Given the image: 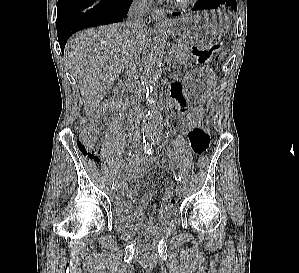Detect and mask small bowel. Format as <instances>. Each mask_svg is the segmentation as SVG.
I'll use <instances>...</instances> for the list:
<instances>
[{
	"instance_id": "small-bowel-1",
	"label": "small bowel",
	"mask_w": 299,
	"mask_h": 273,
	"mask_svg": "<svg viewBox=\"0 0 299 273\" xmlns=\"http://www.w3.org/2000/svg\"><path fill=\"white\" fill-rule=\"evenodd\" d=\"M171 107L175 106L182 116H187L191 110L189 100L184 96L178 84H173L170 90ZM187 138L191 150L197 154H203L209 146V135L204 126L190 129L187 132ZM151 162L146 157H136L126 166L123 179L118 185L117 203L119 208L128 214L142 219L148 209L149 204L156 198L157 192L154 189L147 191L140 199L138 205L132 209L135 195L139 191L138 185H129V183L141 177L149 168ZM165 175L162 174V178ZM172 195V187L167 186L162 193V204L159 209V218L172 216L176 211V206L168 202Z\"/></svg>"
}]
</instances>
